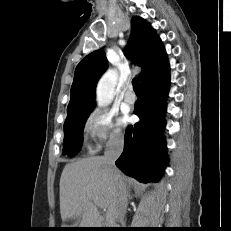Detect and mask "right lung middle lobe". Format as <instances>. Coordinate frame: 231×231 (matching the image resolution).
I'll use <instances>...</instances> for the list:
<instances>
[{"label": "right lung middle lobe", "instance_id": "obj_1", "mask_svg": "<svg viewBox=\"0 0 231 231\" xmlns=\"http://www.w3.org/2000/svg\"><path fill=\"white\" fill-rule=\"evenodd\" d=\"M92 110L67 114L64 123L63 155L74 156L80 151L83 128Z\"/></svg>", "mask_w": 231, "mask_h": 231}]
</instances>
